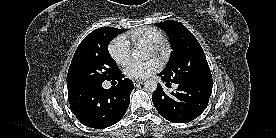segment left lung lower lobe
Returning <instances> with one entry per match:
<instances>
[{
  "mask_svg": "<svg viewBox=\"0 0 276 138\" xmlns=\"http://www.w3.org/2000/svg\"><path fill=\"white\" fill-rule=\"evenodd\" d=\"M159 76L166 82L165 76ZM176 92L167 95L159 85L152 94V101L158 113L168 121L187 123L197 118L206 109L213 83H176Z\"/></svg>",
  "mask_w": 276,
  "mask_h": 138,
  "instance_id": "obj_1",
  "label": "left lung lower lobe"
}]
</instances>
